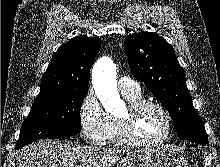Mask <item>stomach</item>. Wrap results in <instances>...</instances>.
<instances>
[{
	"label": "stomach",
	"mask_w": 220,
	"mask_h": 167,
	"mask_svg": "<svg viewBox=\"0 0 220 167\" xmlns=\"http://www.w3.org/2000/svg\"><path fill=\"white\" fill-rule=\"evenodd\" d=\"M119 167H189L187 160L168 147L129 152Z\"/></svg>",
	"instance_id": "stomach-1"
}]
</instances>
